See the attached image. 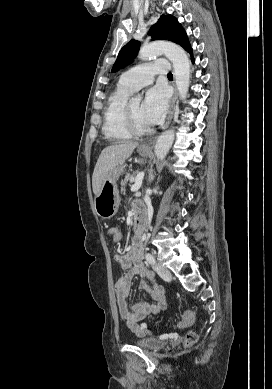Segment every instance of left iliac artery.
<instances>
[{
    "mask_svg": "<svg viewBox=\"0 0 272 389\" xmlns=\"http://www.w3.org/2000/svg\"><path fill=\"white\" fill-rule=\"evenodd\" d=\"M145 258H146L148 263L155 264V258L153 257L152 254L146 253Z\"/></svg>",
    "mask_w": 272,
    "mask_h": 389,
    "instance_id": "obj_1",
    "label": "left iliac artery"
}]
</instances>
